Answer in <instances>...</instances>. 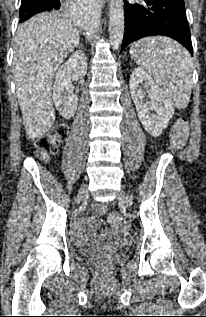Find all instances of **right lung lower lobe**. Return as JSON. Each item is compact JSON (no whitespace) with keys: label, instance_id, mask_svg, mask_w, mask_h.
I'll return each instance as SVG.
<instances>
[{"label":"right lung lower lobe","instance_id":"1","mask_svg":"<svg viewBox=\"0 0 206 317\" xmlns=\"http://www.w3.org/2000/svg\"><path fill=\"white\" fill-rule=\"evenodd\" d=\"M61 0H39L35 2L36 4L42 6V7H51L56 5V3L60 2Z\"/></svg>","mask_w":206,"mask_h":317}]
</instances>
